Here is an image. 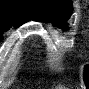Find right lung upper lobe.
Returning <instances> with one entry per match:
<instances>
[{"label": "right lung upper lobe", "instance_id": "right-lung-upper-lobe-1", "mask_svg": "<svg viewBox=\"0 0 89 89\" xmlns=\"http://www.w3.org/2000/svg\"><path fill=\"white\" fill-rule=\"evenodd\" d=\"M33 19L31 0H0V27H19Z\"/></svg>", "mask_w": 89, "mask_h": 89}]
</instances>
